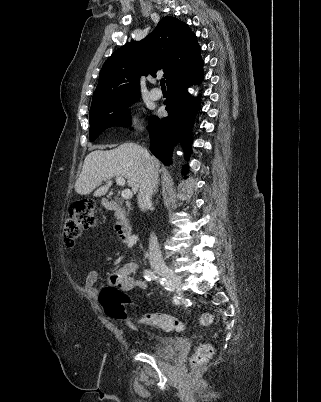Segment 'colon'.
Listing matches in <instances>:
<instances>
[{"label":"colon","instance_id":"5ec220e1","mask_svg":"<svg viewBox=\"0 0 321 402\" xmlns=\"http://www.w3.org/2000/svg\"><path fill=\"white\" fill-rule=\"evenodd\" d=\"M98 216L95 205L91 201L75 203L69 210L65 226L64 236L66 245L73 248L82 233L96 228ZM130 302L129 296L115 286H107L100 293V303L106 313L112 319L125 320L128 318L126 307ZM145 319L164 331H180L184 324L178 318L163 314L153 313L145 316ZM215 318L211 313H203L200 317L202 325H210ZM213 349L208 344L199 346L191 359V367L196 368L206 363L212 356Z\"/></svg>","mask_w":321,"mask_h":402}]
</instances>
